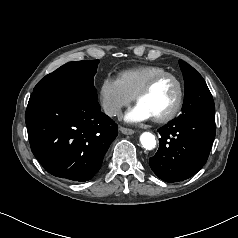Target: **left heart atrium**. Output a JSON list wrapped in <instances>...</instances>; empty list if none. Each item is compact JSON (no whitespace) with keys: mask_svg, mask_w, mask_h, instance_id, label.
Instances as JSON below:
<instances>
[{"mask_svg":"<svg viewBox=\"0 0 238 238\" xmlns=\"http://www.w3.org/2000/svg\"><path fill=\"white\" fill-rule=\"evenodd\" d=\"M150 118L151 115L138 104L125 115V120L130 123L142 122Z\"/></svg>","mask_w":238,"mask_h":238,"instance_id":"obj_1","label":"left heart atrium"}]
</instances>
